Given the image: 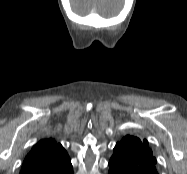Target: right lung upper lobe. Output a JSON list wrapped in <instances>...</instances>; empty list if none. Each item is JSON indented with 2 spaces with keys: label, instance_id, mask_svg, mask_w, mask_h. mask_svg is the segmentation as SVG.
<instances>
[{
  "label": "right lung upper lobe",
  "instance_id": "cb5924a9",
  "mask_svg": "<svg viewBox=\"0 0 187 174\" xmlns=\"http://www.w3.org/2000/svg\"><path fill=\"white\" fill-rule=\"evenodd\" d=\"M72 170L65 149L53 139L39 141L26 156L20 174H66Z\"/></svg>",
  "mask_w": 187,
  "mask_h": 174
}]
</instances>
